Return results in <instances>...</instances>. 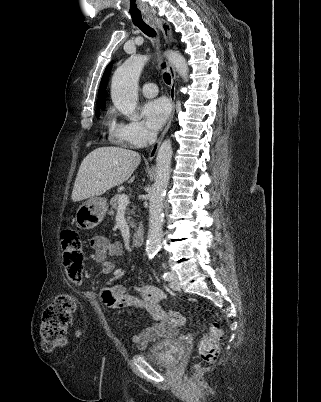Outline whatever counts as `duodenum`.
<instances>
[{
  "mask_svg": "<svg viewBox=\"0 0 321 402\" xmlns=\"http://www.w3.org/2000/svg\"><path fill=\"white\" fill-rule=\"evenodd\" d=\"M144 238H145V229H144L143 225H139L132 235V239H131L132 244L135 247H140V246H142V244L144 242Z\"/></svg>",
  "mask_w": 321,
  "mask_h": 402,
  "instance_id": "410a0bca",
  "label": "duodenum"
}]
</instances>
